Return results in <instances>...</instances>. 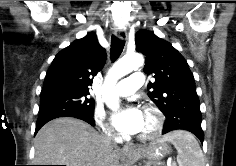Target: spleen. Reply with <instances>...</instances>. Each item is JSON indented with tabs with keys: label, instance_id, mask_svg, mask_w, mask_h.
Instances as JSON below:
<instances>
[{
	"label": "spleen",
	"instance_id": "3e777b00",
	"mask_svg": "<svg viewBox=\"0 0 236 166\" xmlns=\"http://www.w3.org/2000/svg\"><path fill=\"white\" fill-rule=\"evenodd\" d=\"M160 142H170L177 150L179 166H205L203 152L190 132L177 130L163 136Z\"/></svg>",
	"mask_w": 236,
	"mask_h": 166
}]
</instances>
